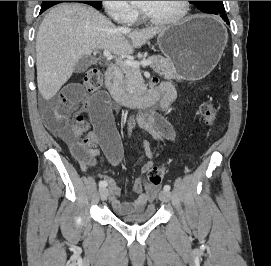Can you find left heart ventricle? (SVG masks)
<instances>
[{"mask_svg": "<svg viewBox=\"0 0 271 266\" xmlns=\"http://www.w3.org/2000/svg\"><path fill=\"white\" fill-rule=\"evenodd\" d=\"M141 8L156 18L176 16L182 10V1H141Z\"/></svg>", "mask_w": 271, "mask_h": 266, "instance_id": "1", "label": "left heart ventricle"}]
</instances>
